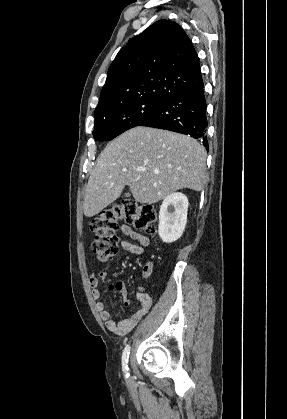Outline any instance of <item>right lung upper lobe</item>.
Listing matches in <instances>:
<instances>
[{
  "label": "right lung upper lobe",
  "mask_w": 287,
  "mask_h": 419,
  "mask_svg": "<svg viewBox=\"0 0 287 419\" xmlns=\"http://www.w3.org/2000/svg\"><path fill=\"white\" fill-rule=\"evenodd\" d=\"M202 83L199 57L187 34L177 23L159 20L118 52L95 114L135 100H165Z\"/></svg>",
  "instance_id": "cb5924a9"
}]
</instances>
